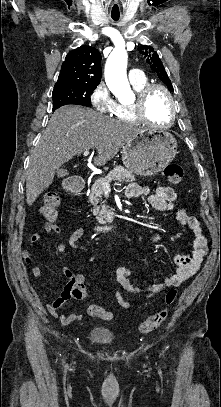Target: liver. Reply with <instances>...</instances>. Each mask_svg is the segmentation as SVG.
Masks as SVG:
<instances>
[{
    "label": "liver",
    "instance_id": "obj_1",
    "mask_svg": "<svg viewBox=\"0 0 221 407\" xmlns=\"http://www.w3.org/2000/svg\"><path fill=\"white\" fill-rule=\"evenodd\" d=\"M142 130L138 125L111 119L90 108L68 105L57 109L30 157L27 204L35 202L52 184L56 171L75 155L96 148L94 163L103 166Z\"/></svg>",
    "mask_w": 221,
    "mask_h": 407
}]
</instances>
